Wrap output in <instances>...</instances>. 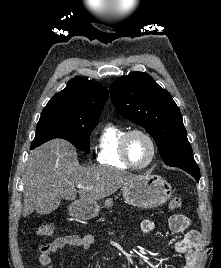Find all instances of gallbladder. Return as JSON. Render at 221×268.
Segmentation results:
<instances>
[{
	"label": "gallbladder",
	"instance_id": "obj_1",
	"mask_svg": "<svg viewBox=\"0 0 221 268\" xmlns=\"http://www.w3.org/2000/svg\"><path fill=\"white\" fill-rule=\"evenodd\" d=\"M36 212L50 214L57 209L60 199H36Z\"/></svg>",
	"mask_w": 221,
	"mask_h": 268
}]
</instances>
